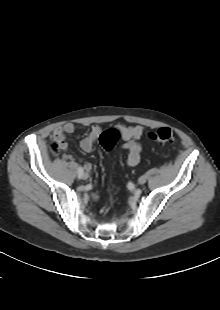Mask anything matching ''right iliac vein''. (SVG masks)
<instances>
[{"instance_id": "1", "label": "right iliac vein", "mask_w": 220, "mask_h": 310, "mask_svg": "<svg viewBox=\"0 0 220 310\" xmlns=\"http://www.w3.org/2000/svg\"><path fill=\"white\" fill-rule=\"evenodd\" d=\"M89 178L88 173H83L82 179L87 180Z\"/></svg>"}]
</instances>
